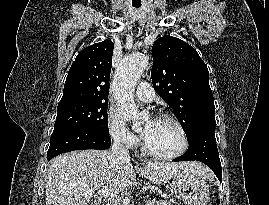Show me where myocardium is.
<instances>
[{
	"instance_id": "f54148a6",
	"label": "myocardium",
	"mask_w": 269,
	"mask_h": 205,
	"mask_svg": "<svg viewBox=\"0 0 269 205\" xmlns=\"http://www.w3.org/2000/svg\"><path fill=\"white\" fill-rule=\"evenodd\" d=\"M157 120H166L174 124V126L179 131L182 138V146L179 150L169 153V154H160L152 151L145 143V140L142 141L141 149L149 157L159 160H171L183 155L189 147V137L184 125L181 121L174 115L169 113H161L157 116Z\"/></svg>"
}]
</instances>
